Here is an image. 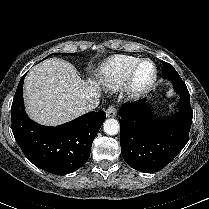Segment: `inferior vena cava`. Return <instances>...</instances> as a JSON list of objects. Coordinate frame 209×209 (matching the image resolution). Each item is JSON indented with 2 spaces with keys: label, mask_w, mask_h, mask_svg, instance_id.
<instances>
[{
  "label": "inferior vena cava",
  "mask_w": 209,
  "mask_h": 209,
  "mask_svg": "<svg viewBox=\"0 0 209 209\" xmlns=\"http://www.w3.org/2000/svg\"><path fill=\"white\" fill-rule=\"evenodd\" d=\"M99 104V100H96L92 103H88V104H84L82 105L79 109L80 111H82L83 113L85 112H91L93 111Z\"/></svg>",
  "instance_id": "1"
}]
</instances>
